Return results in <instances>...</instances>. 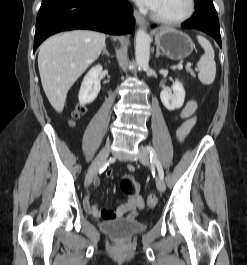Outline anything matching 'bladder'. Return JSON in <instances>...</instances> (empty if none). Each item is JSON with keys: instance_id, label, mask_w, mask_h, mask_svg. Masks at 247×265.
I'll list each match as a JSON object with an SVG mask.
<instances>
[{"instance_id": "bladder-1", "label": "bladder", "mask_w": 247, "mask_h": 265, "mask_svg": "<svg viewBox=\"0 0 247 265\" xmlns=\"http://www.w3.org/2000/svg\"><path fill=\"white\" fill-rule=\"evenodd\" d=\"M100 228L108 235L123 240L143 232L146 225L131 219H107L100 223Z\"/></svg>"}]
</instances>
